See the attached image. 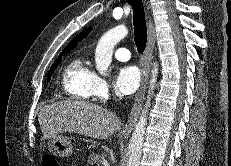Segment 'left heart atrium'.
I'll return each mask as SVG.
<instances>
[{
    "mask_svg": "<svg viewBox=\"0 0 231 166\" xmlns=\"http://www.w3.org/2000/svg\"><path fill=\"white\" fill-rule=\"evenodd\" d=\"M140 81L141 75L137 67L123 66L118 70L115 86L120 93L129 95L137 90Z\"/></svg>",
    "mask_w": 231,
    "mask_h": 166,
    "instance_id": "left-heart-atrium-1",
    "label": "left heart atrium"
}]
</instances>
